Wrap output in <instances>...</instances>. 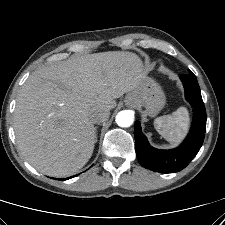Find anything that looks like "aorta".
<instances>
[{"instance_id":"1","label":"aorta","mask_w":225,"mask_h":225,"mask_svg":"<svg viewBox=\"0 0 225 225\" xmlns=\"http://www.w3.org/2000/svg\"><path fill=\"white\" fill-rule=\"evenodd\" d=\"M115 121L120 127H130L134 122V114L130 110L120 111L116 115Z\"/></svg>"}]
</instances>
